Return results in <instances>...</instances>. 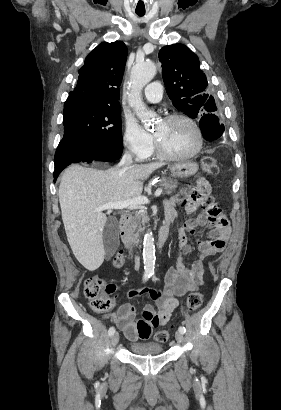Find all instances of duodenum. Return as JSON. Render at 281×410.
<instances>
[{
  "label": "duodenum",
  "instance_id": "duodenum-1",
  "mask_svg": "<svg viewBox=\"0 0 281 410\" xmlns=\"http://www.w3.org/2000/svg\"><path fill=\"white\" fill-rule=\"evenodd\" d=\"M129 219H130V214L129 213L122 214L120 216V219H119V227H120V233H121L122 241H123L126 249L132 252V251H134L135 246L137 244H140L141 241L140 240H135L128 233L127 224L129 222ZM167 238H168V226L164 224L160 228L159 233H158V244L163 245L167 241Z\"/></svg>",
  "mask_w": 281,
  "mask_h": 410
}]
</instances>
